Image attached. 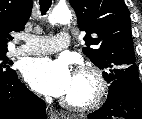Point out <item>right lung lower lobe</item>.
<instances>
[{
    "label": "right lung lower lobe",
    "mask_w": 142,
    "mask_h": 119,
    "mask_svg": "<svg viewBox=\"0 0 142 119\" xmlns=\"http://www.w3.org/2000/svg\"><path fill=\"white\" fill-rule=\"evenodd\" d=\"M0 119H46V104L14 73L0 79Z\"/></svg>",
    "instance_id": "right-lung-lower-lobe-1"
}]
</instances>
